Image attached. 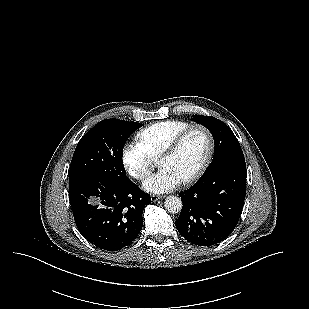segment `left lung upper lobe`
I'll list each match as a JSON object with an SVG mask.
<instances>
[{
	"label": "left lung upper lobe",
	"mask_w": 309,
	"mask_h": 309,
	"mask_svg": "<svg viewBox=\"0 0 309 309\" xmlns=\"http://www.w3.org/2000/svg\"><path fill=\"white\" fill-rule=\"evenodd\" d=\"M192 120L210 130L214 138V156L206 171L228 160L244 157L241 146L234 133L221 120L203 115H195Z\"/></svg>",
	"instance_id": "left-lung-upper-lobe-1"
}]
</instances>
